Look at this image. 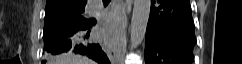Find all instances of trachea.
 Returning a JSON list of instances; mask_svg holds the SVG:
<instances>
[{
	"mask_svg": "<svg viewBox=\"0 0 242 64\" xmlns=\"http://www.w3.org/2000/svg\"><path fill=\"white\" fill-rule=\"evenodd\" d=\"M103 2H104V3H108V2H110V0H103Z\"/></svg>",
	"mask_w": 242,
	"mask_h": 64,
	"instance_id": "obj_1",
	"label": "trachea"
}]
</instances>
